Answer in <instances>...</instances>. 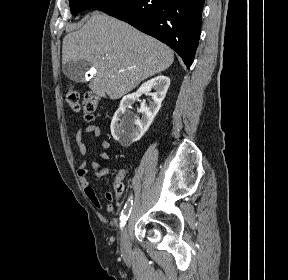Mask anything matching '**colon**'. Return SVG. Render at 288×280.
<instances>
[{"instance_id": "colon-1", "label": "colon", "mask_w": 288, "mask_h": 280, "mask_svg": "<svg viewBox=\"0 0 288 280\" xmlns=\"http://www.w3.org/2000/svg\"><path fill=\"white\" fill-rule=\"evenodd\" d=\"M66 100L73 111L78 112L82 109L85 118L91 120L99 104V98L94 93H86L82 102L80 101V93L70 88L66 94ZM113 190L116 194L122 191V180L116 179L113 182Z\"/></svg>"}]
</instances>
